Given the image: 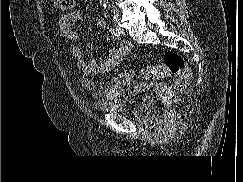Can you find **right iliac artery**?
<instances>
[{"label": "right iliac artery", "mask_w": 243, "mask_h": 182, "mask_svg": "<svg viewBox=\"0 0 243 182\" xmlns=\"http://www.w3.org/2000/svg\"><path fill=\"white\" fill-rule=\"evenodd\" d=\"M110 31L113 34V36H115L116 38H119L121 33H120V30L118 27L113 26Z\"/></svg>", "instance_id": "right-iliac-artery-1"}]
</instances>
